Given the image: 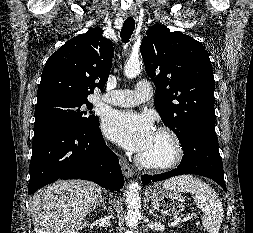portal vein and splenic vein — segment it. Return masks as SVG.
<instances>
[{"mask_svg":"<svg viewBox=\"0 0 253 233\" xmlns=\"http://www.w3.org/2000/svg\"><path fill=\"white\" fill-rule=\"evenodd\" d=\"M191 218H192V216L184 217L183 219L177 218L176 220H174V222L171 223V226H177L179 223L186 222V221L190 220Z\"/></svg>","mask_w":253,"mask_h":233,"instance_id":"portal-vein-and-splenic-vein-1","label":"portal vein and splenic vein"}]
</instances>
